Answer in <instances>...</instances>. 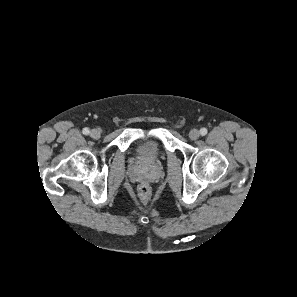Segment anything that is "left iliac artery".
Returning a JSON list of instances; mask_svg holds the SVG:
<instances>
[{
  "label": "left iliac artery",
  "instance_id": "44dca946",
  "mask_svg": "<svg viewBox=\"0 0 297 297\" xmlns=\"http://www.w3.org/2000/svg\"><path fill=\"white\" fill-rule=\"evenodd\" d=\"M200 134H201L202 136L206 135V134H207V129H206V128H201V129H200Z\"/></svg>",
  "mask_w": 297,
  "mask_h": 297
}]
</instances>
